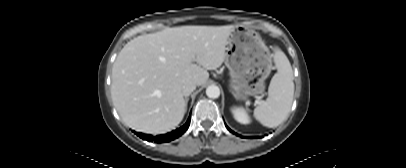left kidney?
<instances>
[{
	"instance_id": "obj_1",
	"label": "left kidney",
	"mask_w": 406,
	"mask_h": 168,
	"mask_svg": "<svg viewBox=\"0 0 406 168\" xmlns=\"http://www.w3.org/2000/svg\"><path fill=\"white\" fill-rule=\"evenodd\" d=\"M231 112L235 118L236 121L242 124H249L250 123V117L248 116L246 110L241 107H233L231 109Z\"/></svg>"
}]
</instances>
